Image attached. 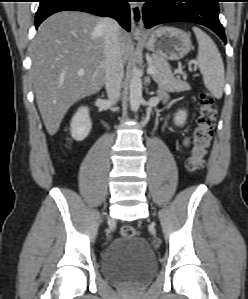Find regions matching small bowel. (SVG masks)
Wrapping results in <instances>:
<instances>
[{"instance_id": "small-bowel-1", "label": "small bowel", "mask_w": 248, "mask_h": 299, "mask_svg": "<svg viewBox=\"0 0 248 299\" xmlns=\"http://www.w3.org/2000/svg\"><path fill=\"white\" fill-rule=\"evenodd\" d=\"M189 144H190V140H189V138H185L184 141H183V145H184L185 147H188Z\"/></svg>"}]
</instances>
